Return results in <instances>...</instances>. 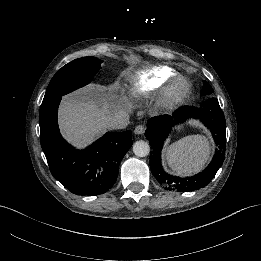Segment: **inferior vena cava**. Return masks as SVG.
Listing matches in <instances>:
<instances>
[{
  "label": "inferior vena cava",
  "instance_id": "obj_1",
  "mask_svg": "<svg viewBox=\"0 0 261 261\" xmlns=\"http://www.w3.org/2000/svg\"><path fill=\"white\" fill-rule=\"evenodd\" d=\"M129 116L125 112H118L108 123L113 129H124L128 125Z\"/></svg>",
  "mask_w": 261,
  "mask_h": 261
}]
</instances>
